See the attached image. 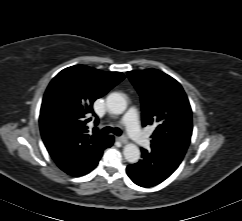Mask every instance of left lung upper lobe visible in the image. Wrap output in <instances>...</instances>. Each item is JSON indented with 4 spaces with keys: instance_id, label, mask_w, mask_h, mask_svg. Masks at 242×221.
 Returning a JSON list of instances; mask_svg holds the SVG:
<instances>
[{
    "instance_id": "obj_1",
    "label": "left lung upper lobe",
    "mask_w": 242,
    "mask_h": 221,
    "mask_svg": "<svg viewBox=\"0 0 242 221\" xmlns=\"http://www.w3.org/2000/svg\"><path fill=\"white\" fill-rule=\"evenodd\" d=\"M127 74L141 96L143 126H156L151 148L182 161L192 135V110L182 86L159 70Z\"/></svg>"
}]
</instances>
